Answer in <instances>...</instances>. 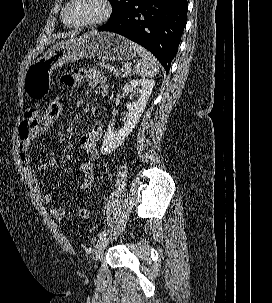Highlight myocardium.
I'll return each instance as SVG.
<instances>
[{
	"label": "myocardium",
	"mask_w": 272,
	"mask_h": 303,
	"mask_svg": "<svg viewBox=\"0 0 272 303\" xmlns=\"http://www.w3.org/2000/svg\"><path fill=\"white\" fill-rule=\"evenodd\" d=\"M74 2H76V0H68V2L66 3V5L63 9V12H62V20H63L64 24H66L69 27L84 28V27L98 26V25H101V24L107 22L112 15L113 7H112V3L110 0H96V2L102 8L101 14L98 17L93 18V19H88L85 21H81L78 23H70L67 20L66 16H67L68 9Z\"/></svg>",
	"instance_id": "myocardium-1"
}]
</instances>
